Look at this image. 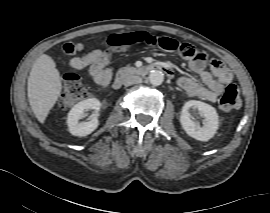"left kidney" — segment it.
I'll list each match as a JSON object with an SVG mask.
<instances>
[{"instance_id":"1","label":"left kidney","mask_w":270,"mask_h":213,"mask_svg":"<svg viewBox=\"0 0 270 213\" xmlns=\"http://www.w3.org/2000/svg\"><path fill=\"white\" fill-rule=\"evenodd\" d=\"M191 108L197 109L203 115L202 127L199 123L193 121L190 112ZM180 123L190 137L199 141H208L211 139L219 126L216 109L207 103L196 100H190L184 104L180 115Z\"/></svg>"}]
</instances>
